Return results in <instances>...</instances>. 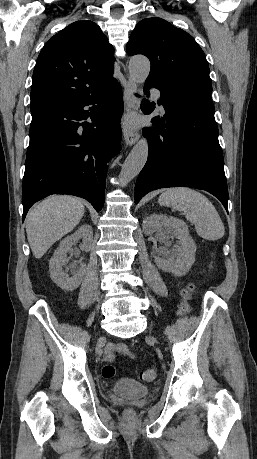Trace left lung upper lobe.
Listing matches in <instances>:
<instances>
[{
  "label": "left lung upper lobe",
  "instance_id": "left-lung-upper-lobe-1",
  "mask_svg": "<svg viewBox=\"0 0 257 459\" xmlns=\"http://www.w3.org/2000/svg\"><path fill=\"white\" fill-rule=\"evenodd\" d=\"M127 53L149 58L148 84L160 89L212 91L204 52L191 35L164 19L140 21L129 38Z\"/></svg>",
  "mask_w": 257,
  "mask_h": 459
}]
</instances>
